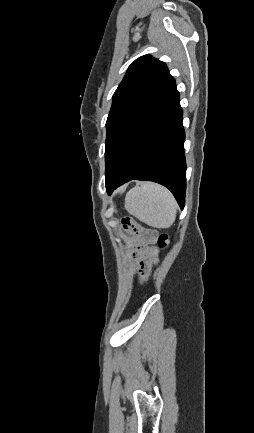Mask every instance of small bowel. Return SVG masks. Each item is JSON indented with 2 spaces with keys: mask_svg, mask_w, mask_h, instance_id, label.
<instances>
[{
  "mask_svg": "<svg viewBox=\"0 0 254 433\" xmlns=\"http://www.w3.org/2000/svg\"><path fill=\"white\" fill-rule=\"evenodd\" d=\"M153 240V236L149 233L144 236V242L150 243ZM146 258L141 259L137 264V270L145 276V273L150 269L157 251L153 247H146L145 250Z\"/></svg>",
  "mask_w": 254,
  "mask_h": 433,
  "instance_id": "obj_1",
  "label": "small bowel"
}]
</instances>
